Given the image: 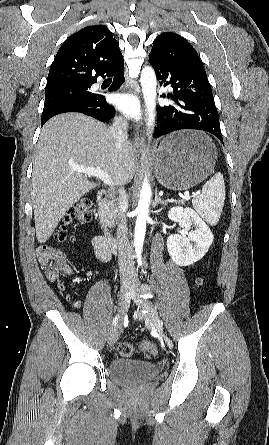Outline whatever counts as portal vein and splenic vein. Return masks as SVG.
<instances>
[{"instance_id":"portal-vein-and-splenic-vein-1","label":"portal vein and splenic vein","mask_w":269,"mask_h":445,"mask_svg":"<svg viewBox=\"0 0 269 445\" xmlns=\"http://www.w3.org/2000/svg\"><path fill=\"white\" fill-rule=\"evenodd\" d=\"M74 170L77 172H81L84 174H87L89 176H95L96 178L100 179L104 184L113 187L114 182L111 179V177L102 169L100 168H93V167H74ZM198 195V193L193 194L192 196L189 194V191L184 192L183 200H189L191 197H194ZM170 202H174V200H170Z\"/></svg>"}]
</instances>
